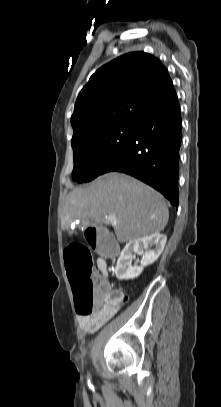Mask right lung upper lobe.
I'll use <instances>...</instances> for the list:
<instances>
[{"mask_svg": "<svg viewBox=\"0 0 221 407\" xmlns=\"http://www.w3.org/2000/svg\"><path fill=\"white\" fill-rule=\"evenodd\" d=\"M174 93L157 58L144 52L122 55L98 69L79 93L71 143L111 126L136 124Z\"/></svg>", "mask_w": 221, "mask_h": 407, "instance_id": "right-lung-upper-lobe-1", "label": "right lung upper lobe"}]
</instances>
